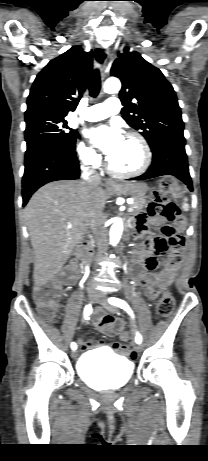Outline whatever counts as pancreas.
<instances>
[{"label": "pancreas", "mask_w": 208, "mask_h": 461, "mask_svg": "<svg viewBox=\"0 0 208 461\" xmlns=\"http://www.w3.org/2000/svg\"><path fill=\"white\" fill-rule=\"evenodd\" d=\"M145 205H146V199L143 197L140 199H135L131 207L133 208L134 211H138V210H142Z\"/></svg>", "instance_id": "pancreas-1"}]
</instances>
